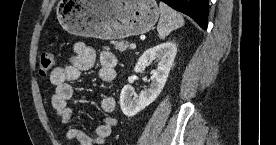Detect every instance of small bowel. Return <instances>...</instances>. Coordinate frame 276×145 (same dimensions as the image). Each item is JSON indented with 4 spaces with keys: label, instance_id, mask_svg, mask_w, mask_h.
Listing matches in <instances>:
<instances>
[{
    "label": "small bowel",
    "instance_id": "small-bowel-1",
    "mask_svg": "<svg viewBox=\"0 0 276 145\" xmlns=\"http://www.w3.org/2000/svg\"><path fill=\"white\" fill-rule=\"evenodd\" d=\"M95 51L83 42H77L73 47V55L70 57L69 64L54 68L49 80L55 87L52 96V106L61 123L67 127L66 139L69 141L77 140L80 145H104L112 129L117 125V118L114 115L116 103L112 97L105 96L101 99L100 106L105 113V120L100 124L94 135H90L73 125L74 108L70 104L74 95L72 81H76L81 73L92 68L95 61ZM98 79L104 84H111L116 77V56L103 51L99 55Z\"/></svg>",
    "mask_w": 276,
    "mask_h": 145
}]
</instances>
